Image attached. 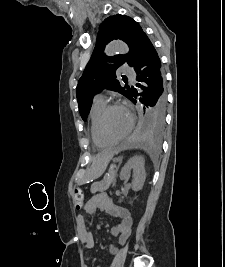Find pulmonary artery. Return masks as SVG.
<instances>
[{
    "label": "pulmonary artery",
    "instance_id": "pulmonary-artery-1",
    "mask_svg": "<svg viewBox=\"0 0 225 267\" xmlns=\"http://www.w3.org/2000/svg\"><path fill=\"white\" fill-rule=\"evenodd\" d=\"M123 73H124L126 76L130 77L132 80H134L135 75H136V74H135V71H134L132 68L128 67V66H124V67H123ZM95 100H101V101H103V100H104V97H103L102 94H97V95L95 96Z\"/></svg>",
    "mask_w": 225,
    "mask_h": 267
}]
</instances>
